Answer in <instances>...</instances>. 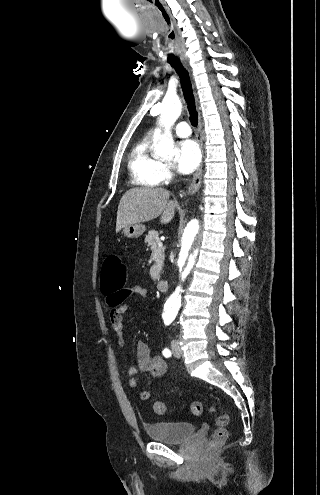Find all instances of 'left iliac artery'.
<instances>
[{
    "mask_svg": "<svg viewBox=\"0 0 320 495\" xmlns=\"http://www.w3.org/2000/svg\"><path fill=\"white\" fill-rule=\"evenodd\" d=\"M170 323H171V320H170V319H166V320H165V324H166V325H169ZM162 353H163V355H164L166 358L171 356V352H170V350H169V349H167V348H165V349L163 350V352H162Z\"/></svg>",
    "mask_w": 320,
    "mask_h": 495,
    "instance_id": "left-iliac-artery-1",
    "label": "left iliac artery"
}]
</instances>
